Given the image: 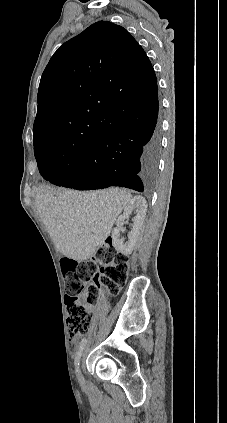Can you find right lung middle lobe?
<instances>
[{"label": "right lung middle lobe", "mask_w": 227, "mask_h": 423, "mask_svg": "<svg viewBox=\"0 0 227 423\" xmlns=\"http://www.w3.org/2000/svg\"><path fill=\"white\" fill-rule=\"evenodd\" d=\"M89 152L90 147L73 148L55 138L34 141V153L38 166L48 164L60 170H67L69 165L84 158Z\"/></svg>", "instance_id": "dd1d6c3e"}]
</instances>
